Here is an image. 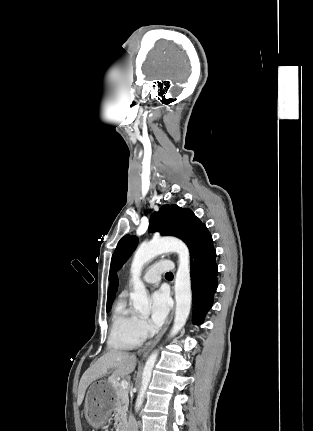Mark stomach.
I'll list each match as a JSON object with an SVG mask.
<instances>
[{
	"label": "stomach",
	"instance_id": "stomach-1",
	"mask_svg": "<svg viewBox=\"0 0 313 431\" xmlns=\"http://www.w3.org/2000/svg\"><path fill=\"white\" fill-rule=\"evenodd\" d=\"M115 381L99 380L90 384L85 398V417L98 428L107 423L115 406Z\"/></svg>",
	"mask_w": 313,
	"mask_h": 431
}]
</instances>
